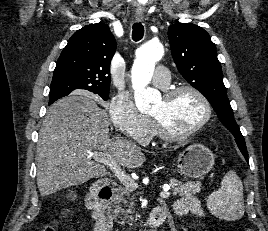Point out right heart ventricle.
<instances>
[{
	"label": "right heart ventricle",
	"mask_w": 268,
	"mask_h": 231,
	"mask_svg": "<svg viewBox=\"0 0 268 231\" xmlns=\"http://www.w3.org/2000/svg\"><path fill=\"white\" fill-rule=\"evenodd\" d=\"M158 134H159V133H158V131H157V129H156L154 123L152 122V137H153V136H156V135H158Z\"/></svg>",
	"instance_id": "1"
}]
</instances>
